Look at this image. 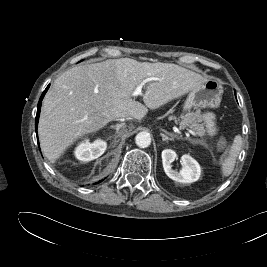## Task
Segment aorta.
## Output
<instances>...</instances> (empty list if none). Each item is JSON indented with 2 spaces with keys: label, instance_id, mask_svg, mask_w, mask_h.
Listing matches in <instances>:
<instances>
[{
  "label": "aorta",
  "instance_id": "aorta-1",
  "mask_svg": "<svg viewBox=\"0 0 267 267\" xmlns=\"http://www.w3.org/2000/svg\"><path fill=\"white\" fill-rule=\"evenodd\" d=\"M135 143L140 148H146L151 144V137L147 132H140L135 137Z\"/></svg>",
  "mask_w": 267,
  "mask_h": 267
}]
</instances>
